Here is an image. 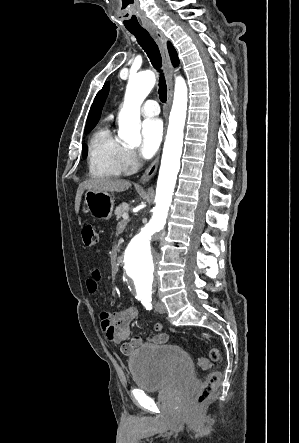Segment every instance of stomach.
<instances>
[{
	"label": "stomach",
	"instance_id": "obj_1",
	"mask_svg": "<svg viewBox=\"0 0 299 443\" xmlns=\"http://www.w3.org/2000/svg\"><path fill=\"white\" fill-rule=\"evenodd\" d=\"M86 209L96 218L109 220L114 209V198L106 192L87 190L84 197Z\"/></svg>",
	"mask_w": 299,
	"mask_h": 443
}]
</instances>
